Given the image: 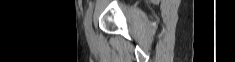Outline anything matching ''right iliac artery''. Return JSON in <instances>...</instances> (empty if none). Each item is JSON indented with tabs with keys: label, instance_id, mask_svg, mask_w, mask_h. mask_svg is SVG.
<instances>
[{
	"label": "right iliac artery",
	"instance_id": "right-iliac-artery-1",
	"mask_svg": "<svg viewBox=\"0 0 235 62\" xmlns=\"http://www.w3.org/2000/svg\"><path fill=\"white\" fill-rule=\"evenodd\" d=\"M92 11H93V6L90 5L88 10H87L86 17H85V22H84L86 34L92 28V26H91Z\"/></svg>",
	"mask_w": 235,
	"mask_h": 62
}]
</instances>
